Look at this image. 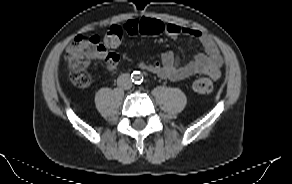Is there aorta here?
<instances>
[{
    "instance_id": "aorta-1",
    "label": "aorta",
    "mask_w": 292,
    "mask_h": 184,
    "mask_svg": "<svg viewBox=\"0 0 292 184\" xmlns=\"http://www.w3.org/2000/svg\"><path fill=\"white\" fill-rule=\"evenodd\" d=\"M141 79V76L139 74H134L133 75V80L138 81Z\"/></svg>"
}]
</instances>
